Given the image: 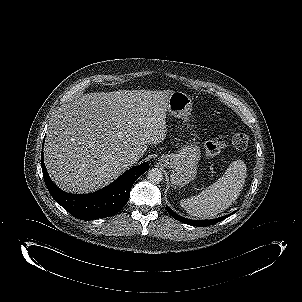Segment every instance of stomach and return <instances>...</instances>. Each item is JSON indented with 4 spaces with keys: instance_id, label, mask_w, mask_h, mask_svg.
<instances>
[{
    "instance_id": "obj_1",
    "label": "stomach",
    "mask_w": 302,
    "mask_h": 302,
    "mask_svg": "<svg viewBox=\"0 0 302 302\" xmlns=\"http://www.w3.org/2000/svg\"><path fill=\"white\" fill-rule=\"evenodd\" d=\"M192 105L190 95L174 91L168 98L166 110L172 116L187 119L192 111ZM200 159V147L195 142H190L175 153L163 154L159 160L171 170L172 184L183 187L196 178Z\"/></svg>"
}]
</instances>
